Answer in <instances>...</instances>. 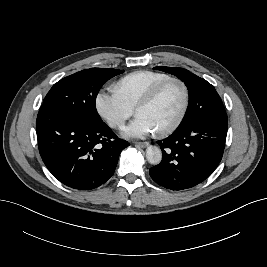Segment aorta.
Wrapping results in <instances>:
<instances>
[{
	"mask_svg": "<svg viewBox=\"0 0 267 267\" xmlns=\"http://www.w3.org/2000/svg\"><path fill=\"white\" fill-rule=\"evenodd\" d=\"M146 159L150 164H159L162 160L161 149L157 146H148L146 149Z\"/></svg>",
	"mask_w": 267,
	"mask_h": 267,
	"instance_id": "obj_1",
	"label": "aorta"
}]
</instances>
